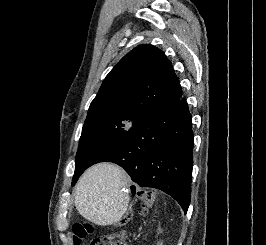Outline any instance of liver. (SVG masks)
<instances>
[{
	"instance_id": "1",
	"label": "liver",
	"mask_w": 266,
	"mask_h": 245,
	"mask_svg": "<svg viewBox=\"0 0 266 245\" xmlns=\"http://www.w3.org/2000/svg\"><path fill=\"white\" fill-rule=\"evenodd\" d=\"M127 181V173L112 163L87 169L75 189L78 213L94 225H115L128 209Z\"/></svg>"
}]
</instances>
